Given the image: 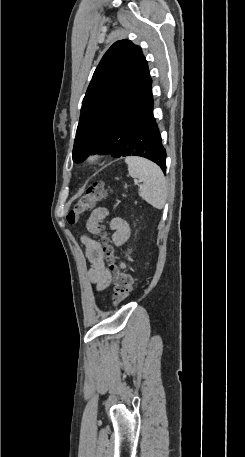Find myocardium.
<instances>
[{"label":"myocardium","instance_id":"obj_1","mask_svg":"<svg viewBox=\"0 0 245 457\" xmlns=\"http://www.w3.org/2000/svg\"><path fill=\"white\" fill-rule=\"evenodd\" d=\"M97 159H98V156H97V155H92V156L89 157L88 161L91 162V163H93V162H95Z\"/></svg>","mask_w":245,"mask_h":457}]
</instances>
